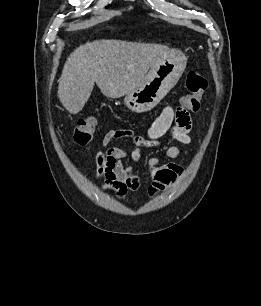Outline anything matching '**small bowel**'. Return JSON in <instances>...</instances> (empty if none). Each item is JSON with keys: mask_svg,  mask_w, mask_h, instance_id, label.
I'll use <instances>...</instances> for the list:
<instances>
[{"mask_svg": "<svg viewBox=\"0 0 261 306\" xmlns=\"http://www.w3.org/2000/svg\"><path fill=\"white\" fill-rule=\"evenodd\" d=\"M173 122L175 123L173 125ZM192 120L189 113L181 108L173 109L167 106L155 119L145 134L134 137L132 159L138 161L141 150L145 147L156 146L164 138L189 145L191 143L190 130ZM131 136L127 129H112L106 133L103 145L108 146L115 139ZM181 155L178 146H169L158 155L147 159L148 174L152 180L149 194L157 196L168 186L174 185L183 173V168L176 163L166 162L163 159H175ZM126 152L117 147H108L105 152L103 165L99 168V175L103 178L102 189L112 190L117 198H124L141 185V176L134 172L130 166L123 163Z\"/></svg>", "mask_w": 261, "mask_h": 306, "instance_id": "obj_1", "label": "small bowel"}]
</instances>
